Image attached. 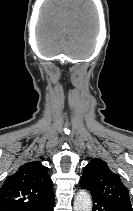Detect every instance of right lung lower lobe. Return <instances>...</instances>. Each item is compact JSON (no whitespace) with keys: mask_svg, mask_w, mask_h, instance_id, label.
<instances>
[{"mask_svg":"<svg viewBox=\"0 0 133 211\" xmlns=\"http://www.w3.org/2000/svg\"><path fill=\"white\" fill-rule=\"evenodd\" d=\"M54 197L43 204L37 205L34 208L30 209V211H53Z\"/></svg>","mask_w":133,"mask_h":211,"instance_id":"1","label":"right lung lower lobe"}]
</instances>
